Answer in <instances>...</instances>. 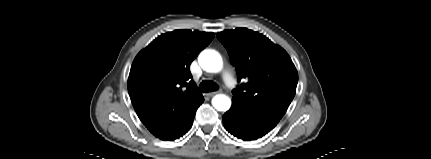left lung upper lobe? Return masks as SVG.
Returning a JSON list of instances; mask_svg holds the SVG:
<instances>
[{
    "instance_id": "5c2ea615",
    "label": "left lung upper lobe",
    "mask_w": 431,
    "mask_h": 159,
    "mask_svg": "<svg viewBox=\"0 0 431 159\" xmlns=\"http://www.w3.org/2000/svg\"><path fill=\"white\" fill-rule=\"evenodd\" d=\"M235 66L238 81L232 104L245 113L278 123L295 96L298 83L296 68L280 46L266 36L236 28L218 32Z\"/></svg>"
}]
</instances>
